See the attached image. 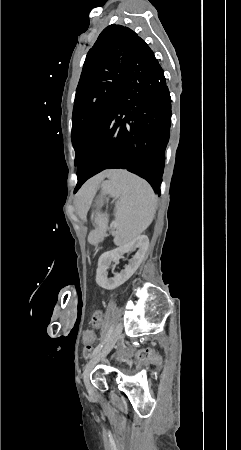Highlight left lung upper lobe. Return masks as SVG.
Listing matches in <instances>:
<instances>
[{
    "label": "left lung upper lobe",
    "mask_w": 241,
    "mask_h": 450,
    "mask_svg": "<svg viewBox=\"0 0 241 450\" xmlns=\"http://www.w3.org/2000/svg\"><path fill=\"white\" fill-rule=\"evenodd\" d=\"M145 44L131 29L110 25L89 50L76 89L72 116L76 166L90 136L120 98L135 46Z\"/></svg>",
    "instance_id": "1"
}]
</instances>
